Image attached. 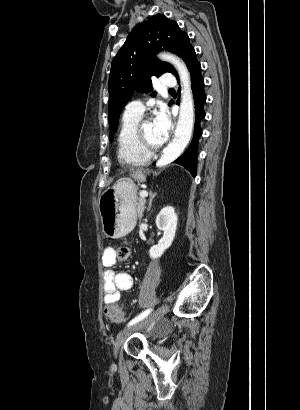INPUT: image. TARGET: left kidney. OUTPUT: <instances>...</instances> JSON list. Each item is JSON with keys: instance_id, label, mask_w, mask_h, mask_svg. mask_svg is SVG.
Returning <instances> with one entry per match:
<instances>
[{"instance_id": "obj_1", "label": "left kidney", "mask_w": 300, "mask_h": 410, "mask_svg": "<svg viewBox=\"0 0 300 410\" xmlns=\"http://www.w3.org/2000/svg\"><path fill=\"white\" fill-rule=\"evenodd\" d=\"M178 217L175 210L171 206L163 208L156 217V226L162 230L163 237L149 250L151 259H157L162 256L166 249H168L176 234Z\"/></svg>"}]
</instances>
